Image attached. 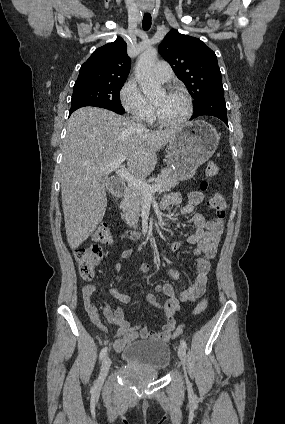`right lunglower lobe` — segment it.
Here are the masks:
<instances>
[{"label": "right lung lower lobe", "mask_w": 285, "mask_h": 424, "mask_svg": "<svg viewBox=\"0 0 285 424\" xmlns=\"http://www.w3.org/2000/svg\"><path fill=\"white\" fill-rule=\"evenodd\" d=\"M85 106H94V107L105 108V109L114 111L118 114L124 113V111H117V110H114V109H111V108H108V107H104V106H99V105H95V104H91V103H87V102H78V103L71 104V109L69 111V115H71L75 110H77L81 107H85Z\"/></svg>", "instance_id": "right-lung-lower-lobe-1"}]
</instances>
